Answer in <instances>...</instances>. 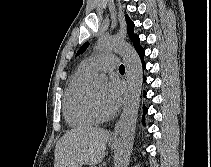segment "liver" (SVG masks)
I'll use <instances>...</instances> for the list:
<instances>
[{"instance_id":"6515ba94","label":"liver","mask_w":211,"mask_h":167,"mask_svg":"<svg viewBox=\"0 0 211 167\" xmlns=\"http://www.w3.org/2000/svg\"><path fill=\"white\" fill-rule=\"evenodd\" d=\"M109 132L102 128L78 127L67 131L57 142L54 167H82L99 164Z\"/></svg>"}]
</instances>
